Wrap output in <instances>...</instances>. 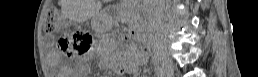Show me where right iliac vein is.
Listing matches in <instances>:
<instances>
[{
	"label": "right iliac vein",
	"mask_w": 258,
	"mask_h": 77,
	"mask_svg": "<svg viewBox=\"0 0 258 77\" xmlns=\"http://www.w3.org/2000/svg\"><path fill=\"white\" fill-rule=\"evenodd\" d=\"M159 61H160V70L164 74L171 76L174 71H173V65L169 56L166 54H160Z\"/></svg>",
	"instance_id": "right-iliac-vein-1"
}]
</instances>
